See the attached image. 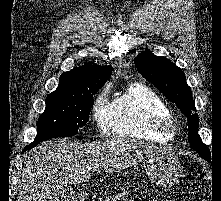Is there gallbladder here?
Here are the masks:
<instances>
[{
  "label": "gallbladder",
  "instance_id": "bac80fb5",
  "mask_svg": "<svg viewBox=\"0 0 221 201\" xmlns=\"http://www.w3.org/2000/svg\"><path fill=\"white\" fill-rule=\"evenodd\" d=\"M75 196V190L71 187H66L63 191V198L67 200H71Z\"/></svg>",
  "mask_w": 221,
  "mask_h": 201
}]
</instances>
